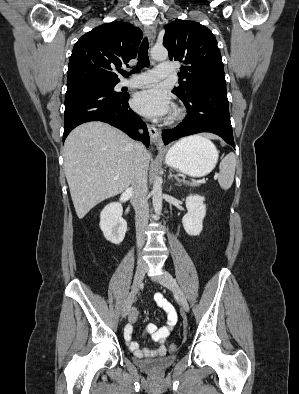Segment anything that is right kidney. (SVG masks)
<instances>
[{"label": "right kidney", "instance_id": "ca27d5eb", "mask_svg": "<svg viewBox=\"0 0 299 394\" xmlns=\"http://www.w3.org/2000/svg\"><path fill=\"white\" fill-rule=\"evenodd\" d=\"M123 207L118 202L106 205L100 213V228L109 242L119 245L125 237L127 222L122 218Z\"/></svg>", "mask_w": 299, "mask_h": 394}]
</instances>
